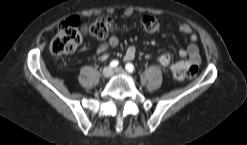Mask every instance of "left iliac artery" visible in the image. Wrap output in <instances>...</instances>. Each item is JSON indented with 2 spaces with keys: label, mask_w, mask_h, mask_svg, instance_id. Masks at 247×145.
Returning <instances> with one entry per match:
<instances>
[{
  "label": "left iliac artery",
  "mask_w": 247,
  "mask_h": 145,
  "mask_svg": "<svg viewBox=\"0 0 247 145\" xmlns=\"http://www.w3.org/2000/svg\"><path fill=\"white\" fill-rule=\"evenodd\" d=\"M126 71H128L129 73H132L134 71V66L131 63H127L125 66Z\"/></svg>",
  "instance_id": "obj_1"
}]
</instances>
